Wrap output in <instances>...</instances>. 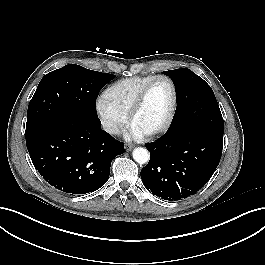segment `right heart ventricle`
Wrapping results in <instances>:
<instances>
[{
  "label": "right heart ventricle",
  "instance_id": "e07e8e85",
  "mask_svg": "<svg viewBox=\"0 0 265 265\" xmlns=\"http://www.w3.org/2000/svg\"><path fill=\"white\" fill-rule=\"evenodd\" d=\"M153 77L145 75L121 79L106 89L103 98L115 110L128 116L139 92Z\"/></svg>",
  "mask_w": 265,
  "mask_h": 265
}]
</instances>
